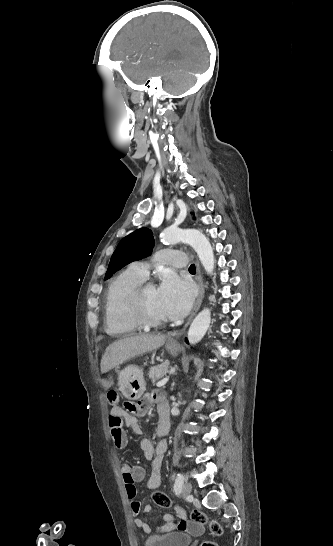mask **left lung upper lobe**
<instances>
[{
  "label": "left lung upper lobe",
  "instance_id": "left-lung-upper-lobe-1",
  "mask_svg": "<svg viewBox=\"0 0 333 546\" xmlns=\"http://www.w3.org/2000/svg\"><path fill=\"white\" fill-rule=\"evenodd\" d=\"M154 247L152 232L147 228H140L124 237L111 256L105 279L110 278L116 271L125 265L148 257Z\"/></svg>",
  "mask_w": 333,
  "mask_h": 546
}]
</instances>
